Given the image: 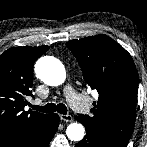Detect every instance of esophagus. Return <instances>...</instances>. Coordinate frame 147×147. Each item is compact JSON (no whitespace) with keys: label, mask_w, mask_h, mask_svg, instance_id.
Masks as SVG:
<instances>
[{"label":"esophagus","mask_w":147,"mask_h":147,"mask_svg":"<svg viewBox=\"0 0 147 147\" xmlns=\"http://www.w3.org/2000/svg\"><path fill=\"white\" fill-rule=\"evenodd\" d=\"M60 119L62 120V121H65V122H72L73 121V117L71 116V115H69V114H67V115H60Z\"/></svg>","instance_id":"1"}]
</instances>
